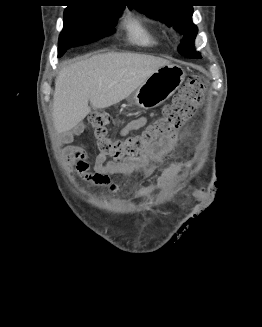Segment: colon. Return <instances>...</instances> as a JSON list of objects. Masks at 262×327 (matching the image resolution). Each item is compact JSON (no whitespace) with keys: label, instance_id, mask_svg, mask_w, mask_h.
Instances as JSON below:
<instances>
[{"label":"colon","instance_id":"colon-1","mask_svg":"<svg viewBox=\"0 0 262 327\" xmlns=\"http://www.w3.org/2000/svg\"><path fill=\"white\" fill-rule=\"evenodd\" d=\"M205 88L197 77H191L164 107L161 114L140 133L113 138L109 135L111 117L107 113H92L88 121L93 130L99 153L114 163L136 159L153 145L174 135L196 112L204 100Z\"/></svg>","mask_w":262,"mask_h":327}]
</instances>
